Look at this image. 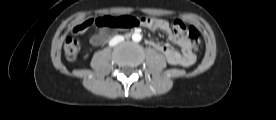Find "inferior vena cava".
I'll return each mask as SVG.
<instances>
[{
  "instance_id": "inferior-vena-cava-1",
  "label": "inferior vena cava",
  "mask_w": 276,
  "mask_h": 120,
  "mask_svg": "<svg viewBox=\"0 0 276 120\" xmlns=\"http://www.w3.org/2000/svg\"><path fill=\"white\" fill-rule=\"evenodd\" d=\"M124 40V37L123 36H115L114 38H112L109 42V45L110 46H114L116 45L117 43L121 42Z\"/></svg>"
}]
</instances>
